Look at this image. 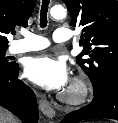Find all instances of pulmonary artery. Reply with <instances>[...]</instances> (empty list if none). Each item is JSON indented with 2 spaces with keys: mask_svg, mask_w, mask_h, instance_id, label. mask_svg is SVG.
<instances>
[{
  "mask_svg": "<svg viewBox=\"0 0 118 123\" xmlns=\"http://www.w3.org/2000/svg\"><path fill=\"white\" fill-rule=\"evenodd\" d=\"M24 38L14 42L9 51L12 54H20L32 51H38L46 48L49 45V41L34 33L24 32ZM71 38V32L64 27L57 28L53 33V40L55 42H65Z\"/></svg>",
  "mask_w": 118,
  "mask_h": 123,
  "instance_id": "pulmonary-artery-1",
  "label": "pulmonary artery"
}]
</instances>
